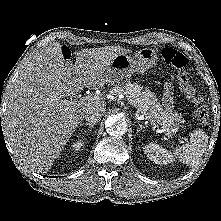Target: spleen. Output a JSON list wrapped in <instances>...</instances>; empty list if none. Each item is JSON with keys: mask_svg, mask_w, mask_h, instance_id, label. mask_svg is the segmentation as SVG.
Here are the masks:
<instances>
[{"mask_svg": "<svg viewBox=\"0 0 221 221\" xmlns=\"http://www.w3.org/2000/svg\"><path fill=\"white\" fill-rule=\"evenodd\" d=\"M208 135L202 129L194 130L188 143L175 149V156L185 165H197L206 151Z\"/></svg>", "mask_w": 221, "mask_h": 221, "instance_id": "obj_1", "label": "spleen"}]
</instances>
